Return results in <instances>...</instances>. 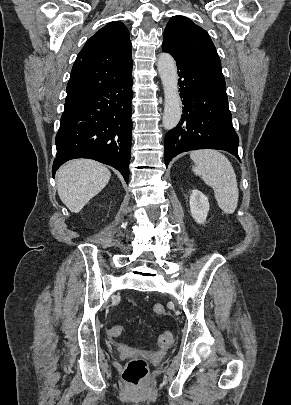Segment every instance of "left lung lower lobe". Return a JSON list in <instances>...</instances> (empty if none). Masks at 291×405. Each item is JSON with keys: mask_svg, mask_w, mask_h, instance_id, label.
I'll return each instance as SVG.
<instances>
[{"mask_svg": "<svg viewBox=\"0 0 291 405\" xmlns=\"http://www.w3.org/2000/svg\"><path fill=\"white\" fill-rule=\"evenodd\" d=\"M176 60L181 121L165 136V165L176 155L197 149L225 150L237 159L239 138L232 126L221 64L185 58L162 46Z\"/></svg>", "mask_w": 291, "mask_h": 405, "instance_id": "obj_1", "label": "left lung lower lobe"}]
</instances>
